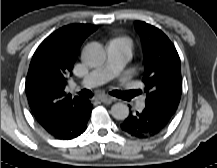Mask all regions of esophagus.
Instances as JSON below:
<instances>
[{
    "instance_id": "34e87169",
    "label": "esophagus",
    "mask_w": 217,
    "mask_h": 168,
    "mask_svg": "<svg viewBox=\"0 0 217 168\" xmlns=\"http://www.w3.org/2000/svg\"><path fill=\"white\" fill-rule=\"evenodd\" d=\"M98 99L104 104H110L114 100L113 97H110L107 95H102V96L98 97Z\"/></svg>"
}]
</instances>
